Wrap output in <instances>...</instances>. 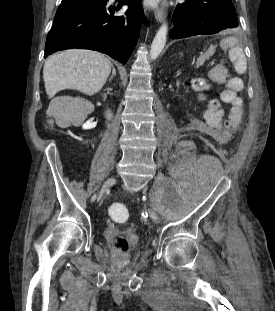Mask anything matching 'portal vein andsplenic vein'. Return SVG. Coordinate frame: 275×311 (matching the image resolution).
I'll return each instance as SVG.
<instances>
[{
	"instance_id": "18ae733b",
	"label": "portal vein and splenic vein",
	"mask_w": 275,
	"mask_h": 311,
	"mask_svg": "<svg viewBox=\"0 0 275 311\" xmlns=\"http://www.w3.org/2000/svg\"><path fill=\"white\" fill-rule=\"evenodd\" d=\"M213 50L212 49H209L204 55H202L198 62H197V65H202L204 62H205V59H208L212 54H213Z\"/></svg>"
}]
</instances>
